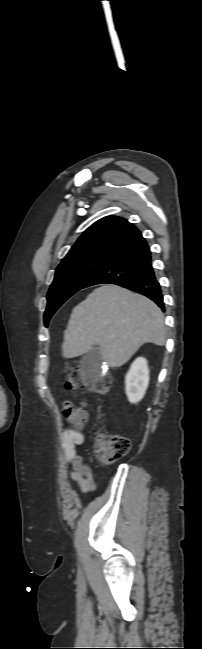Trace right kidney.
<instances>
[{"mask_svg":"<svg viewBox=\"0 0 202 649\" xmlns=\"http://www.w3.org/2000/svg\"><path fill=\"white\" fill-rule=\"evenodd\" d=\"M149 384V369L145 358H137L125 377V391L130 403L139 402Z\"/></svg>","mask_w":202,"mask_h":649,"instance_id":"1","label":"right kidney"}]
</instances>
